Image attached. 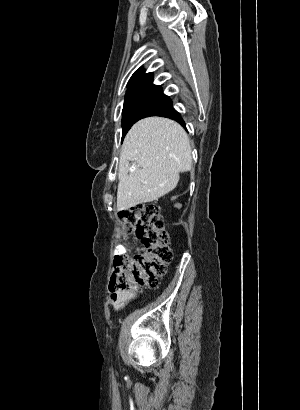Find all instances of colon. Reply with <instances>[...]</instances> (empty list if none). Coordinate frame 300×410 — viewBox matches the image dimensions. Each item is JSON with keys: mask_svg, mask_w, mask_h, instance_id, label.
Masks as SVG:
<instances>
[{"mask_svg": "<svg viewBox=\"0 0 300 410\" xmlns=\"http://www.w3.org/2000/svg\"><path fill=\"white\" fill-rule=\"evenodd\" d=\"M120 219L135 234L144 251L115 259L110 288L113 292H128L136 286L156 287L172 261L159 206L155 203L138 204L122 211Z\"/></svg>", "mask_w": 300, "mask_h": 410, "instance_id": "5ec220e1", "label": "colon"}]
</instances>
